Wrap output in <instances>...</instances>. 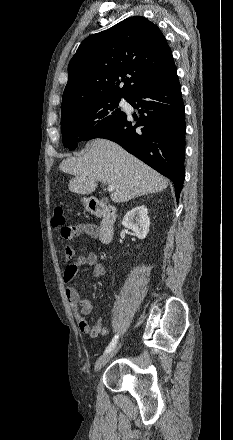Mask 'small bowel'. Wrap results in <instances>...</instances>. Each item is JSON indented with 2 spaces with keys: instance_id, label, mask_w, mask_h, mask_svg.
<instances>
[{
  "instance_id": "small-bowel-1",
  "label": "small bowel",
  "mask_w": 233,
  "mask_h": 440,
  "mask_svg": "<svg viewBox=\"0 0 233 440\" xmlns=\"http://www.w3.org/2000/svg\"><path fill=\"white\" fill-rule=\"evenodd\" d=\"M98 228L93 223H80L73 226H64L61 228V237L66 241H71L81 235H87L90 238L97 239ZM64 255L67 261L71 260L75 251L70 245L64 247ZM82 267H92L91 275L98 278L106 273L105 266L98 261L97 255L93 251L80 255L75 263L67 265L63 272L62 280L65 288V295L69 306L73 311L79 330L92 338L105 336L109 333V328L104 326L101 320H98L91 326L86 316L92 310V304L88 299L83 298L79 291L73 286V280Z\"/></svg>"
}]
</instances>
